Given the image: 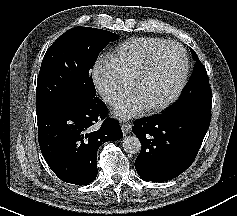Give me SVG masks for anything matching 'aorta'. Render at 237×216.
I'll return each mask as SVG.
<instances>
[{"label": "aorta", "instance_id": "aorta-1", "mask_svg": "<svg viewBox=\"0 0 237 216\" xmlns=\"http://www.w3.org/2000/svg\"><path fill=\"white\" fill-rule=\"evenodd\" d=\"M122 147L126 153L138 154L141 151V142L136 135H125L122 139Z\"/></svg>", "mask_w": 237, "mask_h": 216}]
</instances>
